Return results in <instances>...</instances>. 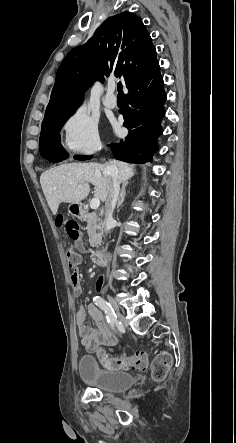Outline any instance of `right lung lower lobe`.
<instances>
[{
    "label": "right lung lower lobe",
    "mask_w": 236,
    "mask_h": 443,
    "mask_svg": "<svg viewBox=\"0 0 236 443\" xmlns=\"http://www.w3.org/2000/svg\"><path fill=\"white\" fill-rule=\"evenodd\" d=\"M129 92L125 95V106L120 110L124 118V127L129 134L120 143L108 145L116 159L130 163L152 161L157 150V137L162 133L160 120L164 116L166 94L160 75L159 63L135 76L126 84ZM43 158L52 162L66 159L68 153L62 145L40 151ZM77 160H86L90 156H74Z\"/></svg>",
    "instance_id": "1"
}]
</instances>
